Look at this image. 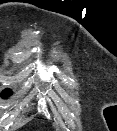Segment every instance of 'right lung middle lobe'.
<instances>
[{
	"label": "right lung middle lobe",
	"mask_w": 117,
	"mask_h": 131,
	"mask_svg": "<svg viewBox=\"0 0 117 131\" xmlns=\"http://www.w3.org/2000/svg\"><path fill=\"white\" fill-rule=\"evenodd\" d=\"M12 94V91L10 89H5L2 94L1 97L6 98L8 96H10Z\"/></svg>",
	"instance_id": "right-lung-middle-lobe-1"
}]
</instances>
